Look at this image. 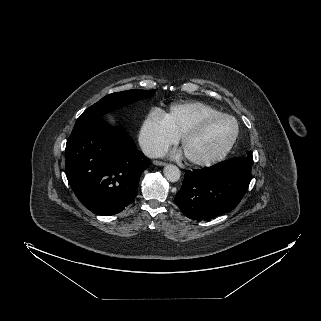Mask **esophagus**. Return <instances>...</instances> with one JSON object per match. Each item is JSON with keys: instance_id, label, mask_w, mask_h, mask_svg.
I'll return each mask as SVG.
<instances>
[{"instance_id": "34e87169", "label": "esophagus", "mask_w": 321, "mask_h": 321, "mask_svg": "<svg viewBox=\"0 0 321 321\" xmlns=\"http://www.w3.org/2000/svg\"><path fill=\"white\" fill-rule=\"evenodd\" d=\"M153 163H154L155 165H157V166H164V165H166L165 162L157 161V160L153 161Z\"/></svg>"}]
</instances>
